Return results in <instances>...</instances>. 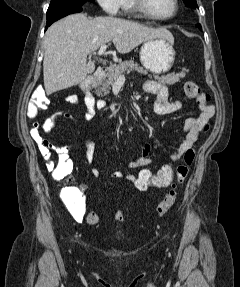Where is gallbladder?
I'll return each instance as SVG.
<instances>
[{
  "mask_svg": "<svg viewBox=\"0 0 240 287\" xmlns=\"http://www.w3.org/2000/svg\"><path fill=\"white\" fill-rule=\"evenodd\" d=\"M94 71L93 65H88V73H92Z\"/></svg>",
  "mask_w": 240,
  "mask_h": 287,
  "instance_id": "1",
  "label": "gallbladder"
}]
</instances>
